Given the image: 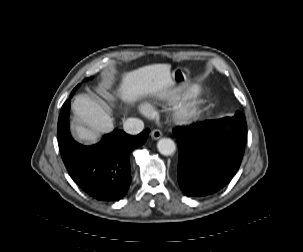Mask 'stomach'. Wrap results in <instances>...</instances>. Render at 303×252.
<instances>
[{"label": "stomach", "mask_w": 303, "mask_h": 252, "mask_svg": "<svg viewBox=\"0 0 303 252\" xmlns=\"http://www.w3.org/2000/svg\"><path fill=\"white\" fill-rule=\"evenodd\" d=\"M173 85L181 88L188 84L191 78V71L188 67L178 66L171 71Z\"/></svg>", "instance_id": "1"}]
</instances>
